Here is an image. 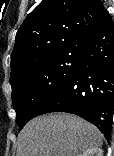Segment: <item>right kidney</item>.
<instances>
[{"label":"right kidney","instance_id":"1","mask_svg":"<svg viewBox=\"0 0 114 156\" xmlns=\"http://www.w3.org/2000/svg\"><path fill=\"white\" fill-rule=\"evenodd\" d=\"M81 156H103V152L100 148H91L85 151Z\"/></svg>","mask_w":114,"mask_h":156}]
</instances>
